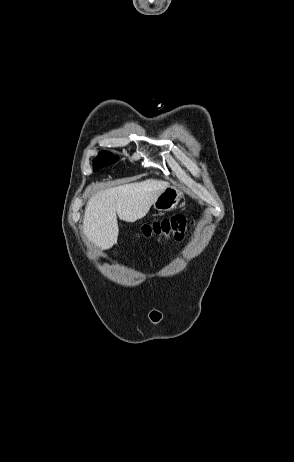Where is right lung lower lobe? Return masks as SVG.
Masks as SVG:
<instances>
[{"label": "right lung lower lobe", "mask_w": 294, "mask_h": 462, "mask_svg": "<svg viewBox=\"0 0 294 462\" xmlns=\"http://www.w3.org/2000/svg\"><path fill=\"white\" fill-rule=\"evenodd\" d=\"M113 163L112 161H110L109 159L107 158H101V157H97L95 160H94V170H98L99 168L101 167H104L108 164H111Z\"/></svg>", "instance_id": "98d812e1"}]
</instances>
